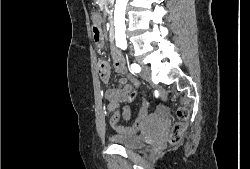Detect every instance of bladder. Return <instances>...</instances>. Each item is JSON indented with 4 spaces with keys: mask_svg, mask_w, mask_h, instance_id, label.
I'll use <instances>...</instances> for the list:
<instances>
[{
    "mask_svg": "<svg viewBox=\"0 0 250 169\" xmlns=\"http://www.w3.org/2000/svg\"><path fill=\"white\" fill-rule=\"evenodd\" d=\"M109 141L113 144L127 148L129 150H138L145 147V145H141V139H139V134L114 133L109 136Z\"/></svg>",
    "mask_w": 250,
    "mask_h": 169,
    "instance_id": "bladder-1",
    "label": "bladder"
}]
</instances>
